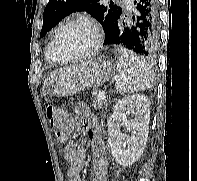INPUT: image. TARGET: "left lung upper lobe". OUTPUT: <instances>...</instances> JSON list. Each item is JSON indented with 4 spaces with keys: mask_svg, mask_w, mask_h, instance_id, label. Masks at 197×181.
<instances>
[{
    "mask_svg": "<svg viewBox=\"0 0 197 181\" xmlns=\"http://www.w3.org/2000/svg\"><path fill=\"white\" fill-rule=\"evenodd\" d=\"M101 0H49L43 13V27L41 36L49 32L59 21L67 15L76 11H86L98 20L105 31V35L110 24L121 16L123 10L114 5H104Z\"/></svg>",
    "mask_w": 197,
    "mask_h": 181,
    "instance_id": "5c2ea615",
    "label": "left lung upper lobe"
}]
</instances>
